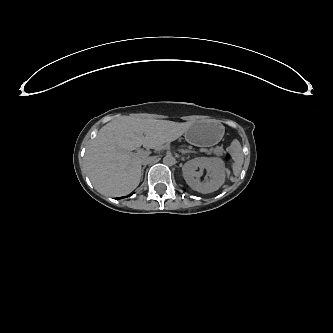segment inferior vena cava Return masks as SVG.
Masks as SVG:
<instances>
[{"label": "inferior vena cava", "instance_id": "1", "mask_svg": "<svg viewBox=\"0 0 333 333\" xmlns=\"http://www.w3.org/2000/svg\"><path fill=\"white\" fill-rule=\"evenodd\" d=\"M154 159H155L154 157H147V158H144V159L142 160V164H143V165H147V164L151 163Z\"/></svg>", "mask_w": 333, "mask_h": 333}]
</instances>
